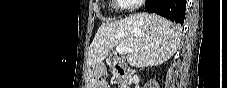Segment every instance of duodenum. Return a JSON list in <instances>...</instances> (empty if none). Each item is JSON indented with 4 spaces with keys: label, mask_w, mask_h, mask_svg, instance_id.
Instances as JSON below:
<instances>
[{
    "label": "duodenum",
    "mask_w": 227,
    "mask_h": 88,
    "mask_svg": "<svg viewBox=\"0 0 227 88\" xmlns=\"http://www.w3.org/2000/svg\"><path fill=\"white\" fill-rule=\"evenodd\" d=\"M107 64L112 68L118 69L123 78L131 76L130 70L127 68L125 62H123L122 60L110 59L108 60Z\"/></svg>",
    "instance_id": "410a0bca"
}]
</instances>
